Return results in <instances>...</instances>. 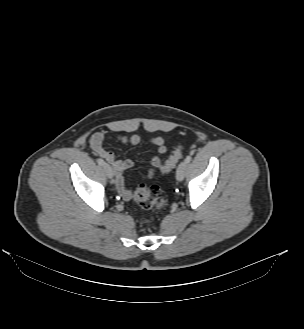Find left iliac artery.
Returning a JSON list of instances; mask_svg holds the SVG:
<instances>
[{"mask_svg":"<svg viewBox=\"0 0 304 329\" xmlns=\"http://www.w3.org/2000/svg\"><path fill=\"white\" fill-rule=\"evenodd\" d=\"M191 159H192L191 156L188 155V156L185 158V162H186V163H189V162L191 161Z\"/></svg>","mask_w":304,"mask_h":329,"instance_id":"left-iliac-artery-1","label":"left iliac artery"}]
</instances>
